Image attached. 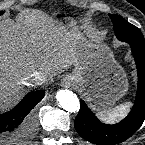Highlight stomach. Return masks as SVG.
<instances>
[{
	"instance_id": "1",
	"label": "stomach",
	"mask_w": 145,
	"mask_h": 145,
	"mask_svg": "<svg viewBox=\"0 0 145 145\" xmlns=\"http://www.w3.org/2000/svg\"><path fill=\"white\" fill-rule=\"evenodd\" d=\"M104 48L90 44L80 50L75 69L70 75L73 83L79 84L99 105L111 106L125 92V84L114 71L111 58L104 57Z\"/></svg>"
}]
</instances>
